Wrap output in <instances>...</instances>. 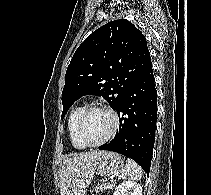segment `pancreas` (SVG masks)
<instances>
[{
  "label": "pancreas",
  "instance_id": "1",
  "mask_svg": "<svg viewBox=\"0 0 211 195\" xmlns=\"http://www.w3.org/2000/svg\"><path fill=\"white\" fill-rule=\"evenodd\" d=\"M108 186H109V184H106V183L103 184V185H101V186H99V187L97 188V189H98L97 192H99V191L102 192V191H104V190H107V189L109 188Z\"/></svg>",
  "mask_w": 211,
  "mask_h": 195
}]
</instances>
